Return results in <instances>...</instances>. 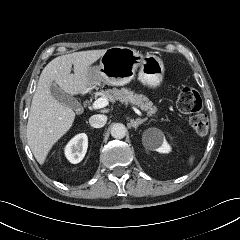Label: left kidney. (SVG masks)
Returning a JSON list of instances; mask_svg holds the SVG:
<instances>
[{"label":"left kidney","mask_w":240,"mask_h":240,"mask_svg":"<svg viewBox=\"0 0 240 240\" xmlns=\"http://www.w3.org/2000/svg\"><path fill=\"white\" fill-rule=\"evenodd\" d=\"M151 136L155 137V140L151 139ZM143 145L149 150H154L159 153H169L171 148L166 142L164 134L156 129H148L143 135Z\"/></svg>","instance_id":"1"}]
</instances>
